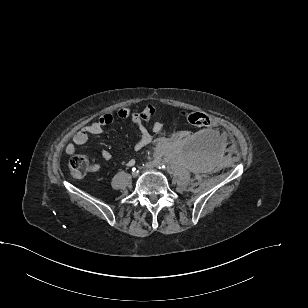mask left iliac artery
I'll list each match as a JSON object with an SVG mask.
<instances>
[{
    "mask_svg": "<svg viewBox=\"0 0 308 308\" xmlns=\"http://www.w3.org/2000/svg\"><path fill=\"white\" fill-rule=\"evenodd\" d=\"M158 168H159V169H165V168H166V166H165V165H163V164H158Z\"/></svg>",
    "mask_w": 308,
    "mask_h": 308,
    "instance_id": "obj_1",
    "label": "left iliac artery"
}]
</instances>
